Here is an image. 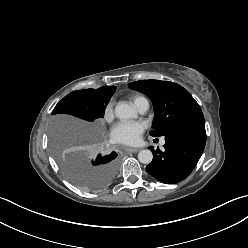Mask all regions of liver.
I'll return each instance as SVG.
<instances>
[{"label":"liver","instance_id":"obj_1","mask_svg":"<svg viewBox=\"0 0 248 248\" xmlns=\"http://www.w3.org/2000/svg\"><path fill=\"white\" fill-rule=\"evenodd\" d=\"M54 125L63 134L78 133L80 135L93 136L95 129L93 126L70 118H57Z\"/></svg>","mask_w":248,"mask_h":248}]
</instances>
